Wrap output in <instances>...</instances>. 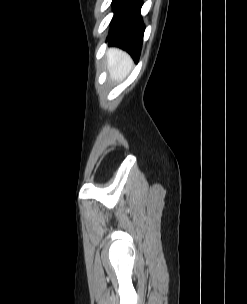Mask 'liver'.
<instances>
[{
	"mask_svg": "<svg viewBox=\"0 0 247 304\" xmlns=\"http://www.w3.org/2000/svg\"><path fill=\"white\" fill-rule=\"evenodd\" d=\"M107 62L109 77L116 82L122 81L133 66L131 57L118 48H111L107 51Z\"/></svg>",
	"mask_w": 247,
	"mask_h": 304,
	"instance_id": "obj_1",
	"label": "liver"
}]
</instances>
